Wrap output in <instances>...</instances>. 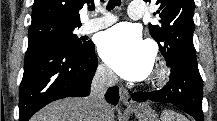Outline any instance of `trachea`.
<instances>
[{"instance_id":"obj_1","label":"trachea","mask_w":217,"mask_h":121,"mask_svg":"<svg viewBox=\"0 0 217 121\" xmlns=\"http://www.w3.org/2000/svg\"><path fill=\"white\" fill-rule=\"evenodd\" d=\"M120 5H121V0H109L108 5H107V10L111 11L116 6H120ZM90 10H94V6H91Z\"/></svg>"}]
</instances>
